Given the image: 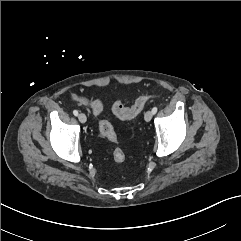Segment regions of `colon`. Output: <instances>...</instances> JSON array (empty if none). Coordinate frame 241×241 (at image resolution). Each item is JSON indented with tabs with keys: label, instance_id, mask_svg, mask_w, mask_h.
Masks as SVG:
<instances>
[{
	"label": "colon",
	"instance_id": "obj_1",
	"mask_svg": "<svg viewBox=\"0 0 241 241\" xmlns=\"http://www.w3.org/2000/svg\"><path fill=\"white\" fill-rule=\"evenodd\" d=\"M152 97V95L141 96L131 106H125L122 102L117 101L113 104L112 110L118 118L123 120L130 119L138 115ZM100 131L102 135L109 141H117V135L109 120L104 118L100 121ZM125 158L126 156L122 149H114L113 159L116 163H123L125 161Z\"/></svg>",
	"mask_w": 241,
	"mask_h": 241
}]
</instances>
